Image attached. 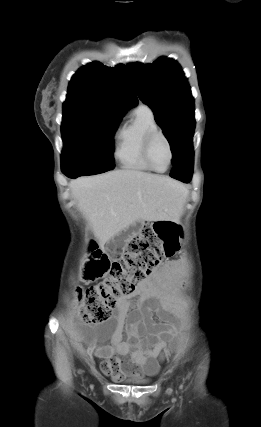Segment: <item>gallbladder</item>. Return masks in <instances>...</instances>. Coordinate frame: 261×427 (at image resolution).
Returning <instances> with one entry per match:
<instances>
[{"label":"gallbladder","mask_w":261,"mask_h":427,"mask_svg":"<svg viewBox=\"0 0 261 427\" xmlns=\"http://www.w3.org/2000/svg\"><path fill=\"white\" fill-rule=\"evenodd\" d=\"M116 243H117V238L112 239L106 243V249L109 251L110 255L114 257L118 254L116 251L113 250V247L116 245Z\"/></svg>","instance_id":"1"}]
</instances>
